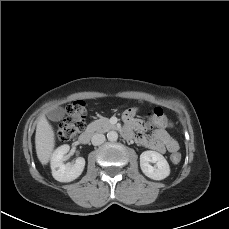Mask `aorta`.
Listing matches in <instances>:
<instances>
[{"label":"aorta","instance_id":"1","mask_svg":"<svg viewBox=\"0 0 229 229\" xmlns=\"http://www.w3.org/2000/svg\"><path fill=\"white\" fill-rule=\"evenodd\" d=\"M107 138L111 142L116 141L118 139V133L116 131H110L107 133Z\"/></svg>","mask_w":229,"mask_h":229}]
</instances>
